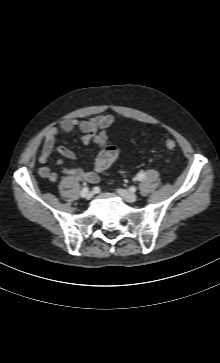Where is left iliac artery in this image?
Instances as JSON below:
<instances>
[{
    "mask_svg": "<svg viewBox=\"0 0 220 363\" xmlns=\"http://www.w3.org/2000/svg\"><path fill=\"white\" fill-rule=\"evenodd\" d=\"M145 178V173L144 172H139L138 174H137V176H136V179L138 180V181H141V180H143Z\"/></svg>",
    "mask_w": 220,
    "mask_h": 363,
    "instance_id": "44dca946",
    "label": "left iliac artery"
}]
</instances>
